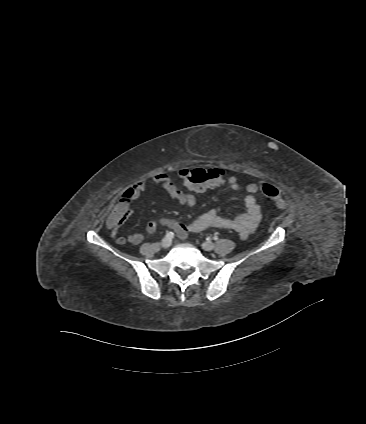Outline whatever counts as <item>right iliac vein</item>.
<instances>
[{"instance_id":"1","label":"right iliac vein","mask_w":366,"mask_h":424,"mask_svg":"<svg viewBox=\"0 0 366 424\" xmlns=\"http://www.w3.org/2000/svg\"><path fill=\"white\" fill-rule=\"evenodd\" d=\"M171 243H172V240L170 238L164 237L161 241V246L163 248H168L171 245Z\"/></svg>"}]
</instances>
